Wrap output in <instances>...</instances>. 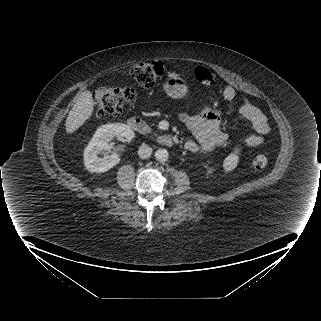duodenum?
<instances>
[{"label":"duodenum","instance_id":"410a0bca","mask_svg":"<svg viewBox=\"0 0 321 321\" xmlns=\"http://www.w3.org/2000/svg\"><path fill=\"white\" fill-rule=\"evenodd\" d=\"M128 125L131 129L138 132L141 135H150L151 128L148 124L138 116H133L128 120ZM157 141L159 144L171 147L173 145V140L169 135H159L157 136Z\"/></svg>","mask_w":321,"mask_h":321}]
</instances>
